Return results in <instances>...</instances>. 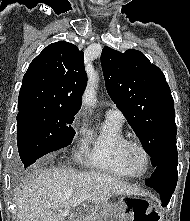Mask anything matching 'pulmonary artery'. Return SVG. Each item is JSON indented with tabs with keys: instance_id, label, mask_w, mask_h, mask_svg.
<instances>
[{
	"instance_id": "obj_1",
	"label": "pulmonary artery",
	"mask_w": 190,
	"mask_h": 221,
	"mask_svg": "<svg viewBox=\"0 0 190 221\" xmlns=\"http://www.w3.org/2000/svg\"><path fill=\"white\" fill-rule=\"evenodd\" d=\"M106 117L107 118L116 119V120H119V121H123L124 120L123 113L115 106H110L106 110Z\"/></svg>"
}]
</instances>
